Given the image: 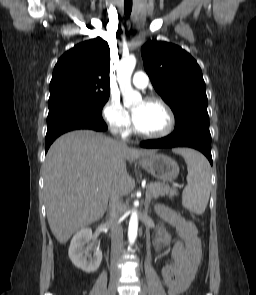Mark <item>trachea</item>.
I'll return each instance as SVG.
<instances>
[{
    "label": "trachea",
    "instance_id": "obj_1",
    "mask_svg": "<svg viewBox=\"0 0 256 295\" xmlns=\"http://www.w3.org/2000/svg\"><path fill=\"white\" fill-rule=\"evenodd\" d=\"M132 11V0L124 1V13L126 17H129Z\"/></svg>",
    "mask_w": 256,
    "mask_h": 295
}]
</instances>
